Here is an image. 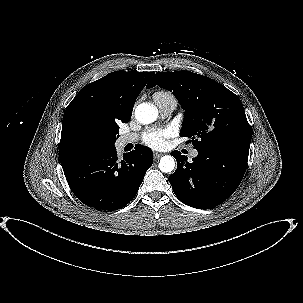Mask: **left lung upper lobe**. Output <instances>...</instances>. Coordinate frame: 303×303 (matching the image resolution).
Instances as JSON below:
<instances>
[{
  "label": "left lung upper lobe",
  "instance_id": "5c2ea615",
  "mask_svg": "<svg viewBox=\"0 0 303 303\" xmlns=\"http://www.w3.org/2000/svg\"><path fill=\"white\" fill-rule=\"evenodd\" d=\"M172 91L185 110L181 136L203 146L250 147L249 125L240 99L222 84L189 71L158 72L147 88ZM191 142V140H190Z\"/></svg>",
  "mask_w": 303,
  "mask_h": 303
}]
</instances>
